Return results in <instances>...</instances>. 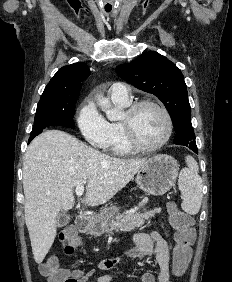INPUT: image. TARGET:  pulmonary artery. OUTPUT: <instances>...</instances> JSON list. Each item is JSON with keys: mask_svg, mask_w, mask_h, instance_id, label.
<instances>
[{"mask_svg": "<svg viewBox=\"0 0 232 282\" xmlns=\"http://www.w3.org/2000/svg\"><path fill=\"white\" fill-rule=\"evenodd\" d=\"M110 95L114 99L129 100V87L121 82H116L110 87Z\"/></svg>", "mask_w": 232, "mask_h": 282, "instance_id": "obj_1", "label": "pulmonary artery"}]
</instances>
